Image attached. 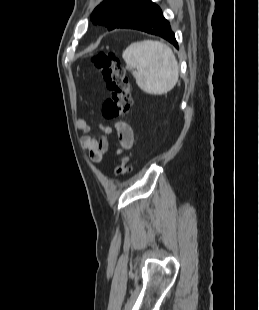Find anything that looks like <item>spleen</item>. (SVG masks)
<instances>
[{
    "label": "spleen",
    "instance_id": "spleen-1",
    "mask_svg": "<svg viewBox=\"0 0 259 310\" xmlns=\"http://www.w3.org/2000/svg\"><path fill=\"white\" fill-rule=\"evenodd\" d=\"M141 90L162 95L174 88L179 66L172 49L159 41L144 40L130 44L122 55Z\"/></svg>",
    "mask_w": 259,
    "mask_h": 310
}]
</instances>
